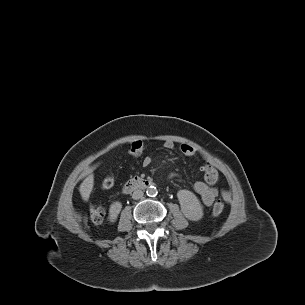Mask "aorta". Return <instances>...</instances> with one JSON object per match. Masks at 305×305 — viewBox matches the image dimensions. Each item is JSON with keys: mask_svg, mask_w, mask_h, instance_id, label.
Instances as JSON below:
<instances>
[{"mask_svg": "<svg viewBox=\"0 0 305 305\" xmlns=\"http://www.w3.org/2000/svg\"><path fill=\"white\" fill-rule=\"evenodd\" d=\"M146 193H147L148 196L154 197V196H156L157 193H158V192H157V188L154 187V186H149V187L147 188V190H146Z\"/></svg>", "mask_w": 305, "mask_h": 305, "instance_id": "aorta-1", "label": "aorta"}]
</instances>
